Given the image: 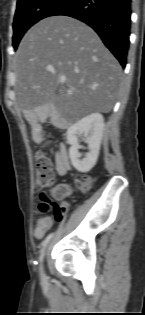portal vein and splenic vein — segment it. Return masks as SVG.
<instances>
[{
    "label": "portal vein and splenic vein",
    "mask_w": 145,
    "mask_h": 315,
    "mask_svg": "<svg viewBox=\"0 0 145 315\" xmlns=\"http://www.w3.org/2000/svg\"><path fill=\"white\" fill-rule=\"evenodd\" d=\"M65 82V79H61V83H64Z\"/></svg>",
    "instance_id": "portal-vein-and-splenic-vein-1"
}]
</instances>
